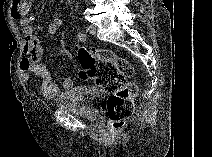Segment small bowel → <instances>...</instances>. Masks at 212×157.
<instances>
[{"instance_id":"1","label":"small bowel","mask_w":212,"mask_h":157,"mask_svg":"<svg viewBox=\"0 0 212 157\" xmlns=\"http://www.w3.org/2000/svg\"><path fill=\"white\" fill-rule=\"evenodd\" d=\"M33 0H14L10 5V15L18 20L24 34L23 57L19 63L20 78L24 83L30 82V74L41 79V91L48 100L68 92L72 88V81L68 78L61 80L59 86L53 80L50 71L41 62L42 46L39 38L34 34V26L30 17ZM62 26L60 18H54L47 30L49 35H55Z\"/></svg>"}]
</instances>
